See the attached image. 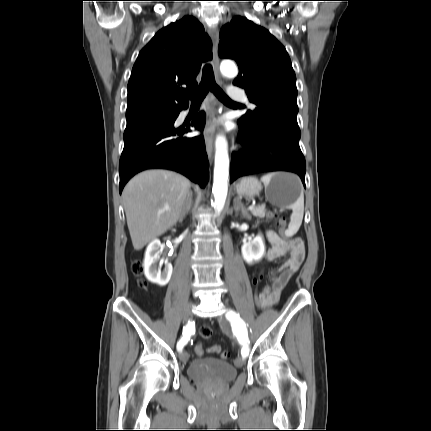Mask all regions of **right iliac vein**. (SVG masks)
Segmentation results:
<instances>
[{
    "mask_svg": "<svg viewBox=\"0 0 431 431\" xmlns=\"http://www.w3.org/2000/svg\"><path fill=\"white\" fill-rule=\"evenodd\" d=\"M192 307H193V302H190L186 306V308L183 312V322L184 323H187L190 320V317L192 315ZM188 359H189V354L185 350L181 351L180 352V360L185 363L188 361Z\"/></svg>",
    "mask_w": 431,
    "mask_h": 431,
    "instance_id": "obj_1",
    "label": "right iliac vein"
}]
</instances>
